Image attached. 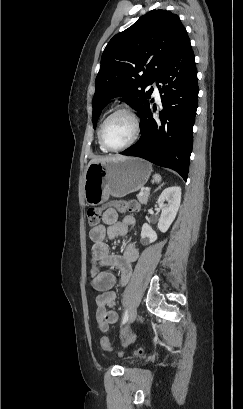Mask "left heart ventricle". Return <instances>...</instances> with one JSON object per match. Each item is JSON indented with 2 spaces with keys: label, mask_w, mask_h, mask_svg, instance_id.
Listing matches in <instances>:
<instances>
[{
  "label": "left heart ventricle",
  "mask_w": 243,
  "mask_h": 409,
  "mask_svg": "<svg viewBox=\"0 0 243 409\" xmlns=\"http://www.w3.org/2000/svg\"><path fill=\"white\" fill-rule=\"evenodd\" d=\"M134 133L132 120L126 114H119L111 118L104 126V139L111 147L126 144Z\"/></svg>",
  "instance_id": "1"
}]
</instances>
